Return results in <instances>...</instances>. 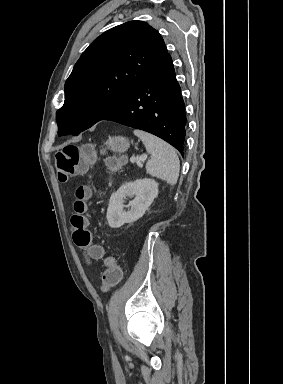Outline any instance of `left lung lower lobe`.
<instances>
[{"instance_id":"left-lung-lower-lobe-1","label":"left lung lower lobe","mask_w":283,"mask_h":384,"mask_svg":"<svg viewBox=\"0 0 283 384\" xmlns=\"http://www.w3.org/2000/svg\"><path fill=\"white\" fill-rule=\"evenodd\" d=\"M102 120L152 133L170 143L183 156L185 105L170 54L166 53L125 100Z\"/></svg>"}]
</instances>
